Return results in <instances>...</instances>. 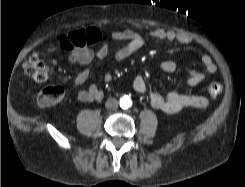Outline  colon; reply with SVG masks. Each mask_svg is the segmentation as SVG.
Instances as JSON below:
<instances>
[{
  "mask_svg": "<svg viewBox=\"0 0 245 187\" xmlns=\"http://www.w3.org/2000/svg\"><path fill=\"white\" fill-rule=\"evenodd\" d=\"M85 30H78L65 35L60 40V48L63 50H77L89 45ZM25 73L34 81L46 82L52 72V68L41 61L36 55L29 56L23 63ZM223 91L220 83L212 82L207 86V93L211 97H217ZM65 96V89L61 85H50L45 87L39 94L38 102L43 107H52L58 104Z\"/></svg>",
  "mask_w": 245,
  "mask_h": 187,
  "instance_id": "colon-1",
  "label": "colon"
}]
</instances>
